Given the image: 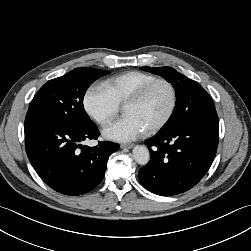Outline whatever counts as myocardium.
I'll use <instances>...</instances> for the list:
<instances>
[{
    "instance_id": "obj_1",
    "label": "myocardium",
    "mask_w": 251,
    "mask_h": 251,
    "mask_svg": "<svg viewBox=\"0 0 251 251\" xmlns=\"http://www.w3.org/2000/svg\"><path fill=\"white\" fill-rule=\"evenodd\" d=\"M157 84H165L170 92H171V104L170 108L165 115V117L154 127L150 128L147 130L148 134H156L159 131H161L172 119L176 107H177V101H178V95H177V90L174 84L165 78H157L144 86H142L138 91H136L135 94H133L124 104V108L129 106V105H135L143 101V99L147 96V94L150 92V90L156 86Z\"/></svg>"
}]
</instances>
